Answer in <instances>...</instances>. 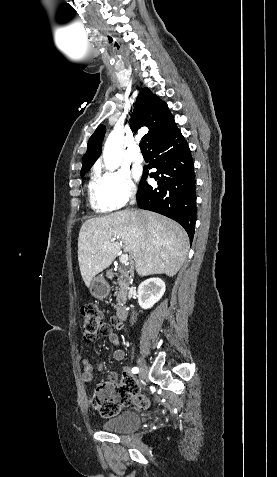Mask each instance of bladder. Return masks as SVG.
<instances>
[{
    "instance_id": "31cf9c89",
    "label": "bladder",
    "mask_w": 277,
    "mask_h": 477,
    "mask_svg": "<svg viewBox=\"0 0 277 477\" xmlns=\"http://www.w3.org/2000/svg\"><path fill=\"white\" fill-rule=\"evenodd\" d=\"M142 423L138 413L133 411H125L118 416L105 421L102 428L105 431L113 433H124L136 430Z\"/></svg>"
}]
</instances>
